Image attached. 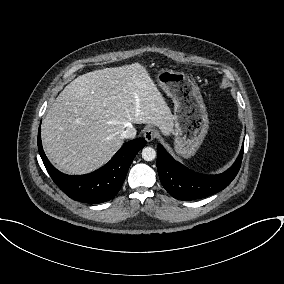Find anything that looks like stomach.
<instances>
[{"label":"stomach","instance_id":"stomach-1","mask_svg":"<svg viewBox=\"0 0 284 284\" xmlns=\"http://www.w3.org/2000/svg\"><path fill=\"white\" fill-rule=\"evenodd\" d=\"M156 80L172 98L174 148L184 158L193 156L202 144L209 128V119L202 95L194 79L173 70H160Z\"/></svg>","mask_w":284,"mask_h":284}]
</instances>
